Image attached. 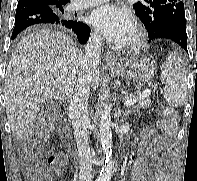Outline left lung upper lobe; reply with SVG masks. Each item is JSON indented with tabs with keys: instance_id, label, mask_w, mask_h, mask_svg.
Returning <instances> with one entry per match:
<instances>
[{
	"instance_id": "1",
	"label": "left lung upper lobe",
	"mask_w": 197,
	"mask_h": 181,
	"mask_svg": "<svg viewBox=\"0 0 197 181\" xmlns=\"http://www.w3.org/2000/svg\"><path fill=\"white\" fill-rule=\"evenodd\" d=\"M134 4L135 14L144 23L149 38L157 36L158 31L167 22L185 19L182 0H143Z\"/></svg>"
}]
</instances>
